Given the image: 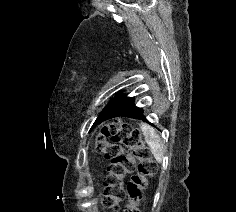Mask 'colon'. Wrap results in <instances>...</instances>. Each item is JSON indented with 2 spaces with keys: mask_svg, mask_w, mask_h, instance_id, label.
I'll return each mask as SVG.
<instances>
[{
  "mask_svg": "<svg viewBox=\"0 0 236 212\" xmlns=\"http://www.w3.org/2000/svg\"><path fill=\"white\" fill-rule=\"evenodd\" d=\"M111 137V141L107 140ZM94 150L110 159L105 177L102 206L118 211L119 203L129 199L122 212H140L139 203L148 186V179L155 175L157 167L150 150L130 126L120 119L102 128L93 143ZM130 179L124 186L125 176Z\"/></svg>",
  "mask_w": 236,
  "mask_h": 212,
  "instance_id": "1",
  "label": "colon"
}]
</instances>
